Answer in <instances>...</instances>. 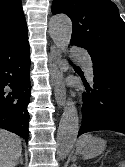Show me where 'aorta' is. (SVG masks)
Instances as JSON below:
<instances>
[{"label": "aorta", "mask_w": 125, "mask_h": 167, "mask_svg": "<svg viewBox=\"0 0 125 167\" xmlns=\"http://www.w3.org/2000/svg\"><path fill=\"white\" fill-rule=\"evenodd\" d=\"M49 34L54 44L65 51L72 35L71 20L65 15H55L49 21ZM79 131L78 112L73 101H68L57 132V155L65 159L74 146Z\"/></svg>", "instance_id": "obj_1"}]
</instances>
